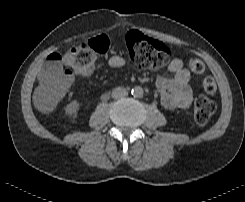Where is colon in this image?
<instances>
[{"mask_svg":"<svg viewBox=\"0 0 245 202\" xmlns=\"http://www.w3.org/2000/svg\"><path fill=\"white\" fill-rule=\"evenodd\" d=\"M110 38L106 35L96 36L80 45L72 46L66 53H53L47 58V70L41 80L38 91V109L49 113L63 98L71 87L72 76L85 74L95 57L108 51ZM127 52L132 61L140 68L157 70L172 58L171 48L160 41L146 37L137 32L126 35ZM190 69L196 73L204 72V64L197 58L187 60ZM204 91L212 95L217 86L211 77L202 81ZM216 110L213 100L201 97L195 102L193 116L196 123L206 124Z\"/></svg>","mask_w":245,"mask_h":202,"instance_id":"1","label":"colon"}]
</instances>
